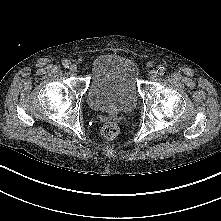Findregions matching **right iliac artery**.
<instances>
[{"label":"right iliac artery","instance_id":"right-iliac-artery-1","mask_svg":"<svg viewBox=\"0 0 221 221\" xmlns=\"http://www.w3.org/2000/svg\"><path fill=\"white\" fill-rule=\"evenodd\" d=\"M62 64H63V66H64L65 68H69L70 65H71V62H70L69 60H64V61L62 62Z\"/></svg>","mask_w":221,"mask_h":221}]
</instances>
